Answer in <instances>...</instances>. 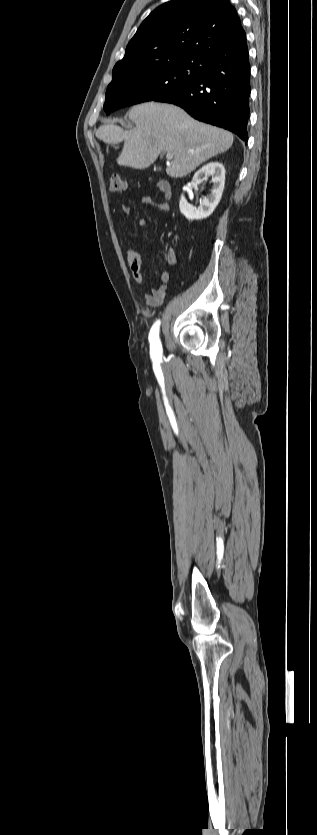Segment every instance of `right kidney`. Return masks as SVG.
<instances>
[{"label": "right kidney", "instance_id": "obj_1", "mask_svg": "<svg viewBox=\"0 0 317 835\" xmlns=\"http://www.w3.org/2000/svg\"><path fill=\"white\" fill-rule=\"evenodd\" d=\"M211 176L213 183L211 194L205 196L200 201L198 208L188 204L185 197L182 195L179 203L180 212L188 220H200L209 217L216 206L220 202L225 185V168L223 164L218 161H212L200 168L193 176L192 183L197 185L202 178Z\"/></svg>", "mask_w": 317, "mask_h": 835}]
</instances>
